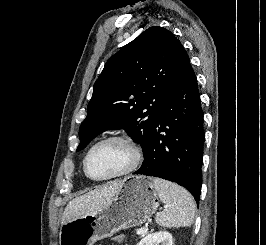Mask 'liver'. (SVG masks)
Returning <instances> with one entry per match:
<instances>
[{
	"label": "liver",
	"instance_id": "1",
	"mask_svg": "<svg viewBox=\"0 0 266 245\" xmlns=\"http://www.w3.org/2000/svg\"><path fill=\"white\" fill-rule=\"evenodd\" d=\"M123 187V181L117 183H108L105 187H98L94 191H89L81 197H76L68 203L62 217L61 225L73 221L76 217H86V215H94L100 209L107 207L113 201L115 195Z\"/></svg>",
	"mask_w": 266,
	"mask_h": 245
}]
</instances>
